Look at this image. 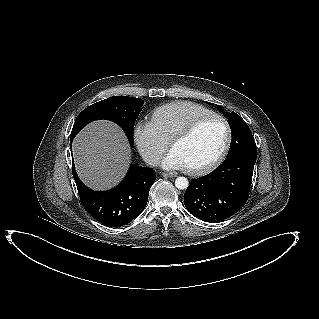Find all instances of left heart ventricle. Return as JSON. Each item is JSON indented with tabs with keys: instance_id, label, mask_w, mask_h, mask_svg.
Listing matches in <instances>:
<instances>
[{
	"instance_id": "b2bd125f",
	"label": "left heart ventricle",
	"mask_w": 319,
	"mask_h": 319,
	"mask_svg": "<svg viewBox=\"0 0 319 319\" xmlns=\"http://www.w3.org/2000/svg\"><path fill=\"white\" fill-rule=\"evenodd\" d=\"M226 137L223 123L211 119L200 124L185 140L173 148L184 167H200L211 162L220 152Z\"/></svg>"
}]
</instances>
